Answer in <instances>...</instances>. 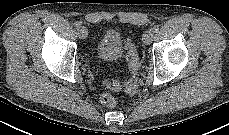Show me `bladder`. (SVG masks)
<instances>
[{"label": "bladder", "instance_id": "1", "mask_svg": "<svg viewBox=\"0 0 229 135\" xmlns=\"http://www.w3.org/2000/svg\"><path fill=\"white\" fill-rule=\"evenodd\" d=\"M123 55L120 32L114 28L107 29L97 45V58L104 62H117Z\"/></svg>", "mask_w": 229, "mask_h": 135}]
</instances>
